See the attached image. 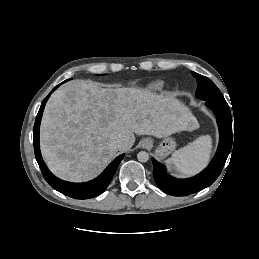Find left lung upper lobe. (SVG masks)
<instances>
[{"label": "left lung upper lobe", "mask_w": 259, "mask_h": 259, "mask_svg": "<svg viewBox=\"0 0 259 259\" xmlns=\"http://www.w3.org/2000/svg\"><path fill=\"white\" fill-rule=\"evenodd\" d=\"M198 83L196 97L202 100H225L217 86L207 77L192 72Z\"/></svg>", "instance_id": "5c2ea615"}]
</instances>
